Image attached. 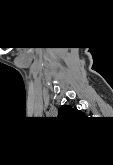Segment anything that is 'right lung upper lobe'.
<instances>
[{
    "mask_svg": "<svg viewBox=\"0 0 113 165\" xmlns=\"http://www.w3.org/2000/svg\"><path fill=\"white\" fill-rule=\"evenodd\" d=\"M82 116L83 113L76 109V107H71L70 105L62 106L58 109V116L65 118H73L75 116Z\"/></svg>",
    "mask_w": 113,
    "mask_h": 165,
    "instance_id": "1",
    "label": "right lung upper lobe"
}]
</instances>
